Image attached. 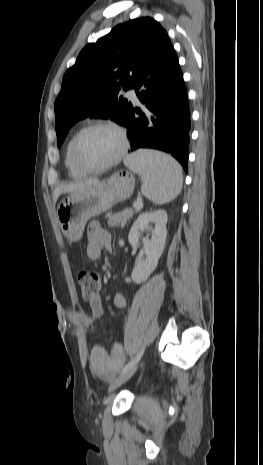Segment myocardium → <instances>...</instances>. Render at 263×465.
Masks as SVG:
<instances>
[{
  "label": "myocardium",
  "mask_w": 263,
  "mask_h": 465,
  "mask_svg": "<svg viewBox=\"0 0 263 465\" xmlns=\"http://www.w3.org/2000/svg\"><path fill=\"white\" fill-rule=\"evenodd\" d=\"M95 128H108L113 130L119 137L120 140V148L117 153V155L110 160L109 162L99 165V166H88L84 164L80 157H79V143L82 138V136L89 130L95 129ZM128 149V138L127 134L124 130L123 127H121L119 124L108 121V120H98L91 122L84 127H82L74 136L73 141H72V147H71V154H72V159L75 163V165L83 172L85 173H99L106 171L115 165H117L125 156L126 152Z\"/></svg>",
  "instance_id": "obj_1"
}]
</instances>
